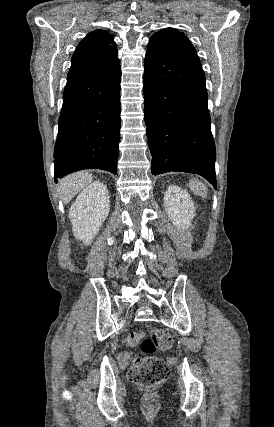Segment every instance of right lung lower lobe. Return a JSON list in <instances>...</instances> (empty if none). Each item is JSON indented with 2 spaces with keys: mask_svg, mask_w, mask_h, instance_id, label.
<instances>
[{
  "mask_svg": "<svg viewBox=\"0 0 274 427\" xmlns=\"http://www.w3.org/2000/svg\"><path fill=\"white\" fill-rule=\"evenodd\" d=\"M120 61L99 74L68 81L54 149L55 182L82 169L117 174Z\"/></svg>",
  "mask_w": 274,
  "mask_h": 427,
  "instance_id": "98d812e1",
  "label": "right lung lower lobe"
}]
</instances>
